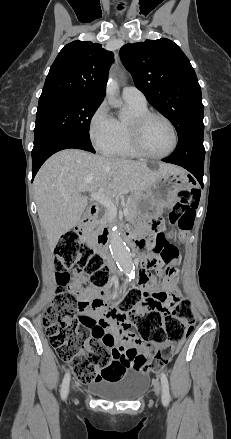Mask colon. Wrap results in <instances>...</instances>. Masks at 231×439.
Wrapping results in <instances>:
<instances>
[{
  "mask_svg": "<svg viewBox=\"0 0 231 439\" xmlns=\"http://www.w3.org/2000/svg\"><path fill=\"white\" fill-rule=\"evenodd\" d=\"M180 202L170 215V222L181 232L193 228L199 193L195 189L179 192ZM56 280L60 286L54 302L42 315V324L51 346L58 357L70 363L74 373L84 381L103 379L120 380L129 366L105 345H92V332L89 322L82 318L87 303L78 299L77 294L66 290L69 271L74 270L83 276L82 289L89 293L101 294L109 281V269L102 255L86 244L75 233L62 236L56 247ZM158 264L164 275L177 260V249L165 250L158 254ZM142 288L154 289L148 273H142L139 286L129 289L118 302L120 315L134 324L139 333V341L147 344V353H131L134 368L142 371H156L165 367L177 351V345L191 333L195 317L188 299L177 301L170 310L152 309L141 313L144 299ZM96 300L92 307L100 304ZM165 345L164 347H159ZM86 352H82L83 350Z\"/></svg>",
  "mask_w": 231,
  "mask_h": 439,
  "instance_id": "5ec220e1",
  "label": "colon"
}]
</instances>
